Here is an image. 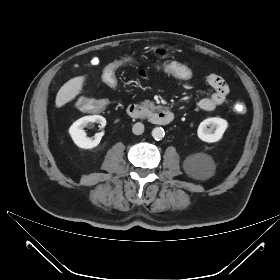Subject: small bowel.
Returning a JSON list of instances; mask_svg holds the SVG:
<instances>
[{"mask_svg":"<svg viewBox=\"0 0 280 280\" xmlns=\"http://www.w3.org/2000/svg\"><path fill=\"white\" fill-rule=\"evenodd\" d=\"M92 64L96 65L97 60L94 59L92 61ZM140 75L141 77L145 78L146 72L144 70H141ZM206 82L213 89V93L210 94L209 96L201 98L198 102V107L203 111H212L225 102L226 97L229 93V88L225 80L221 76L215 73L208 74L206 76ZM184 83H185V87L189 88L191 81L184 82Z\"/></svg>","mask_w":280,"mask_h":280,"instance_id":"obj_1","label":"small bowel"}]
</instances>
